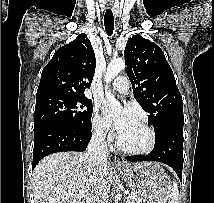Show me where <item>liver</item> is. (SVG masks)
Segmentation results:
<instances>
[{
    "instance_id": "1",
    "label": "liver",
    "mask_w": 214,
    "mask_h": 203,
    "mask_svg": "<svg viewBox=\"0 0 214 203\" xmlns=\"http://www.w3.org/2000/svg\"><path fill=\"white\" fill-rule=\"evenodd\" d=\"M102 169L109 189L114 180L112 168L107 163ZM94 172L83 153L58 152L45 157L33 171L35 203H90L98 184Z\"/></svg>"
}]
</instances>
